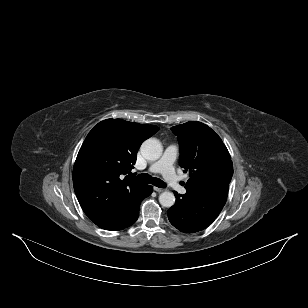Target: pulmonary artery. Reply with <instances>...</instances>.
<instances>
[{"instance_id":"obj_1","label":"pulmonary artery","mask_w":308,"mask_h":308,"mask_svg":"<svg viewBox=\"0 0 308 308\" xmlns=\"http://www.w3.org/2000/svg\"><path fill=\"white\" fill-rule=\"evenodd\" d=\"M176 157L177 147L170 145L165 149L162 157L149 167L148 171L151 173H161L170 187L180 194H185L186 189L180 184V179L173 167Z\"/></svg>"}]
</instances>
